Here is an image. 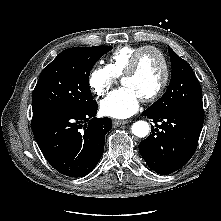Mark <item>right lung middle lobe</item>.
<instances>
[{
  "label": "right lung middle lobe",
  "mask_w": 221,
  "mask_h": 221,
  "mask_svg": "<svg viewBox=\"0 0 221 221\" xmlns=\"http://www.w3.org/2000/svg\"><path fill=\"white\" fill-rule=\"evenodd\" d=\"M110 46L69 48L40 74L32 95L33 113L54 108H82L92 104L89 74Z\"/></svg>",
  "instance_id": "1"
}]
</instances>
